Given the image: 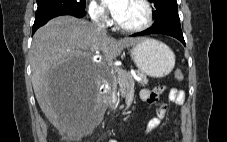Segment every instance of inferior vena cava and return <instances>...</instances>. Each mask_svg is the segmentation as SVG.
<instances>
[{
    "label": "inferior vena cava",
    "instance_id": "inferior-vena-cava-1",
    "mask_svg": "<svg viewBox=\"0 0 227 142\" xmlns=\"http://www.w3.org/2000/svg\"><path fill=\"white\" fill-rule=\"evenodd\" d=\"M102 16L101 12H95L92 18V24L99 30L102 32H106V28H105V23L100 20V17Z\"/></svg>",
    "mask_w": 227,
    "mask_h": 142
}]
</instances>
